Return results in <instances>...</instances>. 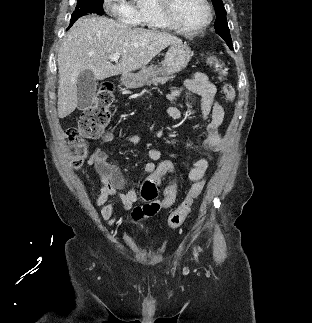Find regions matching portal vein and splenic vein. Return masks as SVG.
Segmentation results:
<instances>
[{"mask_svg": "<svg viewBox=\"0 0 312 323\" xmlns=\"http://www.w3.org/2000/svg\"><path fill=\"white\" fill-rule=\"evenodd\" d=\"M111 62H118L120 58V54H112V56H109Z\"/></svg>", "mask_w": 312, "mask_h": 323, "instance_id": "18ae733b", "label": "portal vein and splenic vein"}]
</instances>
